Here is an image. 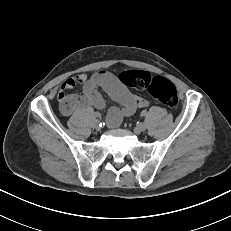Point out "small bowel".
Instances as JSON below:
<instances>
[{
    "mask_svg": "<svg viewBox=\"0 0 231 231\" xmlns=\"http://www.w3.org/2000/svg\"><path fill=\"white\" fill-rule=\"evenodd\" d=\"M77 86H82L81 94L67 93ZM99 89L119 104L118 107L111 108L107 114L106 119L110 127L118 126L124 117L148 105L145 98L131 92L114 74L108 71H98L91 76L84 73L75 75L62 83L58 93L62 114L71 116L75 112L88 108L103 109L105 101Z\"/></svg>",
    "mask_w": 231,
    "mask_h": 231,
    "instance_id": "obj_1",
    "label": "small bowel"
}]
</instances>
